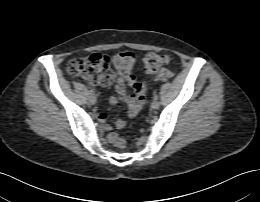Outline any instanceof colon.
Segmentation results:
<instances>
[{
  "instance_id": "colon-1",
  "label": "colon",
  "mask_w": 260,
  "mask_h": 202,
  "mask_svg": "<svg viewBox=\"0 0 260 202\" xmlns=\"http://www.w3.org/2000/svg\"><path fill=\"white\" fill-rule=\"evenodd\" d=\"M168 58L166 55L150 52L144 57V68L153 73L155 81H167L173 77V72L164 68ZM134 66V56L129 51H120L112 55L95 53L88 57H79L70 60L67 64V73L74 77H81L93 85H110L120 75L128 78ZM113 144L124 149L126 142L116 133L110 135Z\"/></svg>"
}]
</instances>
